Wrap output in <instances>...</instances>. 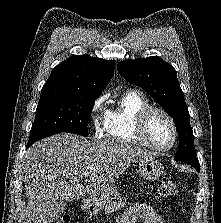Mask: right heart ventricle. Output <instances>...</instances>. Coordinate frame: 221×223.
Instances as JSON below:
<instances>
[{"instance_id":"e07e8e85","label":"right heart ventricle","mask_w":221,"mask_h":223,"mask_svg":"<svg viewBox=\"0 0 221 223\" xmlns=\"http://www.w3.org/2000/svg\"><path fill=\"white\" fill-rule=\"evenodd\" d=\"M151 104L138 90L126 91L117 105L107 113L106 136L109 140L121 143H140L134 128L139 113Z\"/></svg>"}]
</instances>
